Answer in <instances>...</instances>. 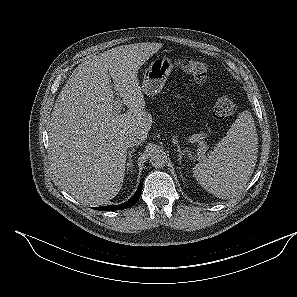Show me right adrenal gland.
<instances>
[{"instance_id":"obj_1","label":"right adrenal gland","mask_w":297,"mask_h":297,"mask_svg":"<svg viewBox=\"0 0 297 297\" xmlns=\"http://www.w3.org/2000/svg\"><path fill=\"white\" fill-rule=\"evenodd\" d=\"M134 152V149H132L131 151H128V160L126 163L127 168H130L132 170L133 167V162H132V153Z\"/></svg>"}]
</instances>
